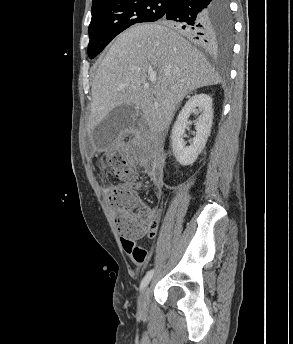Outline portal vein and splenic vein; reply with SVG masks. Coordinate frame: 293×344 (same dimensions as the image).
<instances>
[{
	"label": "portal vein and splenic vein",
	"instance_id": "obj_1",
	"mask_svg": "<svg viewBox=\"0 0 293 344\" xmlns=\"http://www.w3.org/2000/svg\"><path fill=\"white\" fill-rule=\"evenodd\" d=\"M151 74H154V73H151ZM154 78H155V74H154ZM155 82V79H152V83H154ZM147 87L149 86V85H146Z\"/></svg>",
	"mask_w": 293,
	"mask_h": 344
}]
</instances>
